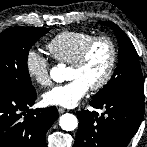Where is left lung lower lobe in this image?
Instances as JSON below:
<instances>
[{
	"label": "left lung lower lobe",
	"mask_w": 147,
	"mask_h": 147,
	"mask_svg": "<svg viewBox=\"0 0 147 147\" xmlns=\"http://www.w3.org/2000/svg\"><path fill=\"white\" fill-rule=\"evenodd\" d=\"M90 105L104 109L78 111V133L74 147H127L144 116V100L119 96L106 100L93 99Z\"/></svg>",
	"instance_id": "0a47b994"
}]
</instances>
